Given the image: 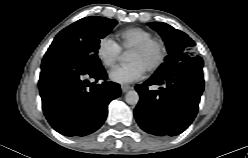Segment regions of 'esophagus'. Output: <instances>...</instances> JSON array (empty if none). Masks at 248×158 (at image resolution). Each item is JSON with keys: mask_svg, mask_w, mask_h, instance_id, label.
Segmentation results:
<instances>
[{"mask_svg": "<svg viewBox=\"0 0 248 158\" xmlns=\"http://www.w3.org/2000/svg\"><path fill=\"white\" fill-rule=\"evenodd\" d=\"M131 89V86L127 85V84H122L121 85V90L123 93H126L127 91H129Z\"/></svg>", "mask_w": 248, "mask_h": 158, "instance_id": "esophagus-1", "label": "esophagus"}]
</instances>
